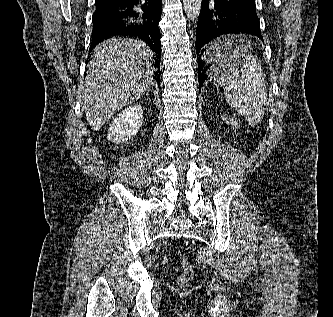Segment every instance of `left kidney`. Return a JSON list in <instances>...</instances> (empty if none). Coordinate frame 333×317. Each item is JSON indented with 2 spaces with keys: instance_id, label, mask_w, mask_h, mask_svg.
I'll return each mask as SVG.
<instances>
[{
  "instance_id": "obj_1",
  "label": "left kidney",
  "mask_w": 333,
  "mask_h": 317,
  "mask_svg": "<svg viewBox=\"0 0 333 317\" xmlns=\"http://www.w3.org/2000/svg\"><path fill=\"white\" fill-rule=\"evenodd\" d=\"M223 120L226 121L227 124L231 123L234 127H238V122L234 119L223 118Z\"/></svg>"
}]
</instances>
